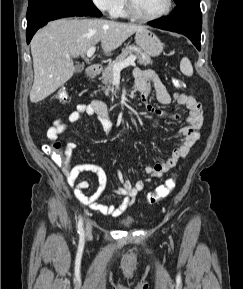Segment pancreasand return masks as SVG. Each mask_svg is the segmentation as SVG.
Segmentation results:
<instances>
[{
	"mask_svg": "<svg viewBox=\"0 0 243 289\" xmlns=\"http://www.w3.org/2000/svg\"><path fill=\"white\" fill-rule=\"evenodd\" d=\"M135 54L138 58V63L143 66H148L152 64L151 57L141 51V49L135 45H127L121 52L120 55L116 57L102 72L103 84L107 85L105 88V95H109V92L113 93L114 88L111 87L113 80V66L117 63L124 61L129 55Z\"/></svg>",
	"mask_w": 243,
	"mask_h": 289,
	"instance_id": "obj_1",
	"label": "pancreas"
}]
</instances>
